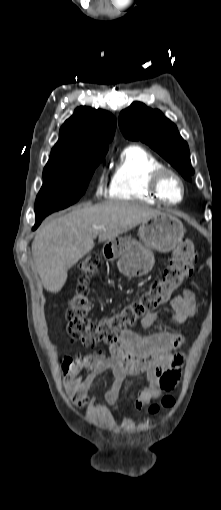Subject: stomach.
<instances>
[{
  "label": "stomach",
  "instance_id": "1",
  "mask_svg": "<svg viewBox=\"0 0 221 510\" xmlns=\"http://www.w3.org/2000/svg\"><path fill=\"white\" fill-rule=\"evenodd\" d=\"M182 222L169 213H160L139 227L140 241L131 237H115L104 245L109 260H117V267L126 277H141L153 267V251L169 252L183 239Z\"/></svg>",
  "mask_w": 221,
  "mask_h": 510
}]
</instances>
